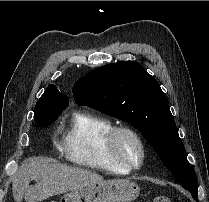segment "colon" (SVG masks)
I'll return each mask as SVG.
<instances>
[{"mask_svg": "<svg viewBox=\"0 0 209 202\" xmlns=\"http://www.w3.org/2000/svg\"><path fill=\"white\" fill-rule=\"evenodd\" d=\"M151 202H171V200L169 197L159 196V197H155Z\"/></svg>", "mask_w": 209, "mask_h": 202, "instance_id": "5ec220e1", "label": "colon"}]
</instances>
